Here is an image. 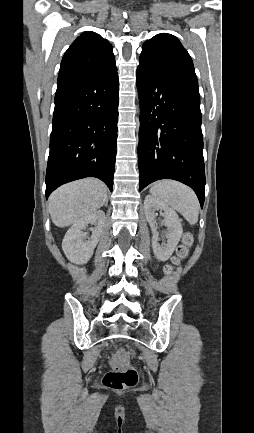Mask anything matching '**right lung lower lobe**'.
<instances>
[{"instance_id": "98d812e1", "label": "right lung lower lobe", "mask_w": 254, "mask_h": 433, "mask_svg": "<svg viewBox=\"0 0 254 433\" xmlns=\"http://www.w3.org/2000/svg\"><path fill=\"white\" fill-rule=\"evenodd\" d=\"M119 81L116 65L57 82L46 199L62 184L101 179L112 191L117 146Z\"/></svg>"}]
</instances>
